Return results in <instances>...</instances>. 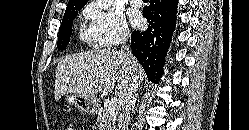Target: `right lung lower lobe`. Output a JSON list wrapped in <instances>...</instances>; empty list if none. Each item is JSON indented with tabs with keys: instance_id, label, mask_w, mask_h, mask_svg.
I'll list each match as a JSON object with an SVG mask.
<instances>
[{
	"instance_id": "right-lung-lower-lobe-1",
	"label": "right lung lower lobe",
	"mask_w": 249,
	"mask_h": 130,
	"mask_svg": "<svg viewBox=\"0 0 249 130\" xmlns=\"http://www.w3.org/2000/svg\"><path fill=\"white\" fill-rule=\"evenodd\" d=\"M176 12V0H150V4L143 9L148 29L134 31L131 35L132 53L153 82H158L163 74L164 56L175 27Z\"/></svg>"
}]
</instances>
